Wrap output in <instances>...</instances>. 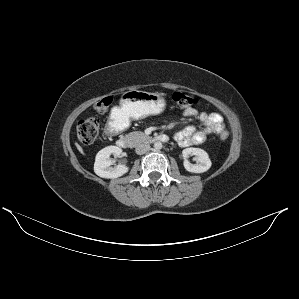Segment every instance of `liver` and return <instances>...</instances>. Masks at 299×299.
<instances>
[{
	"label": "liver",
	"mask_w": 299,
	"mask_h": 299,
	"mask_svg": "<svg viewBox=\"0 0 299 299\" xmlns=\"http://www.w3.org/2000/svg\"><path fill=\"white\" fill-rule=\"evenodd\" d=\"M76 147H77L78 151H79L82 155H84V151H83L82 147H81L79 144H77V143H76Z\"/></svg>",
	"instance_id": "6515ba94"
}]
</instances>
